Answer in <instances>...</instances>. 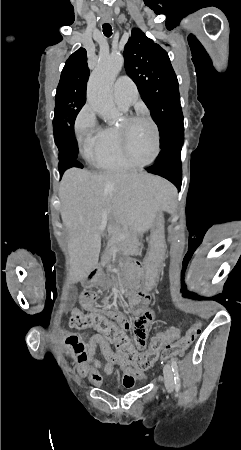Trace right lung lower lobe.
I'll list each match as a JSON object with an SVG mask.
<instances>
[{
  "label": "right lung lower lobe",
  "instance_id": "obj_1",
  "mask_svg": "<svg viewBox=\"0 0 241 450\" xmlns=\"http://www.w3.org/2000/svg\"><path fill=\"white\" fill-rule=\"evenodd\" d=\"M67 136L68 142L66 145H67V155L70 157L69 163L72 165V167L82 168L83 167L82 164L77 160L78 148L76 145V141L74 140V122L69 126Z\"/></svg>",
  "mask_w": 241,
  "mask_h": 450
}]
</instances>
